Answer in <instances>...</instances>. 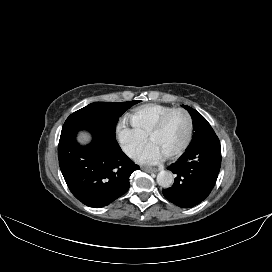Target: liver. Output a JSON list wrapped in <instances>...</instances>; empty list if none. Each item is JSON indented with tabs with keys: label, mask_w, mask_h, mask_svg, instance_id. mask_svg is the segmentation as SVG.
<instances>
[{
	"label": "liver",
	"mask_w": 272,
	"mask_h": 272,
	"mask_svg": "<svg viewBox=\"0 0 272 272\" xmlns=\"http://www.w3.org/2000/svg\"><path fill=\"white\" fill-rule=\"evenodd\" d=\"M89 140H90V136H89L88 134H86V133H81V134L79 135V141H80L81 143H87Z\"/></svg>",
	"instance_id": "liver-1"
}]
</instances>
